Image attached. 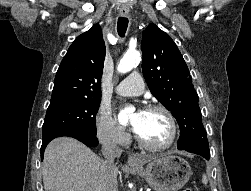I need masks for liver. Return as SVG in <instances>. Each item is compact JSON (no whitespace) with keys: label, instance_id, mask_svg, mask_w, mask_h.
<instances>
[{"label":"liver","instance_id":"obj_1","mask_svg":"<svg viewBox=\"0 0 251 191\" xmlns=\"http://www.w3.org/2000/svg\"><path fill=\"white\" fill-rule=\"evenodd\" d=\"M118 167L74 137H56L44 151L45 191H117Z\"/></svg>","mask_w":251,"mask_h":191}]
</instances>
